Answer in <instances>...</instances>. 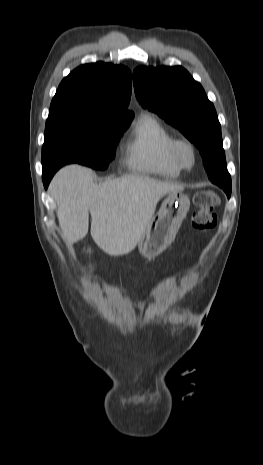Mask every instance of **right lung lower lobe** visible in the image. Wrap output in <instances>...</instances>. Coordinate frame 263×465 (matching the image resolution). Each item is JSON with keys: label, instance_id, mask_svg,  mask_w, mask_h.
Returning <instances> with one entry per match:
<instances>
[{"label": "right lung lower lobe", "instance_id": "right-lung-lower-lobe-1", "mask_svg": "<svg viewBox=\"0 0 263 465\" xmlns=\"http://www.w3.org/2000/svg\"><path fill=\"white\" fill-rule=\"evenodd\" d=\"M54 173L55 172H52V171L46 172V171L43 170L42 178H43V183H44L45 188H47L52 176L54 175Z\"/></svg>", "mask_w": 263, "mask_h": 465}]
</instances>
